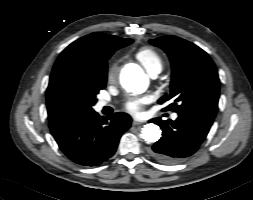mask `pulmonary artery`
Masks as SVG:
<instances>
[{"label":"pulmonary artery","mask_w":253,"mask_h":200,"mask_svg":"<svg viewBox=\"0 0 253 200\" xmlns=\"http://www.w3.org/2000/svg\"><path fill=\"white\" fill-rule=\"evenodd\" d=\"M151 76L152 77H156L157 76V74H151ZM107 105V103L105 102V101H100L99 103H98V107L99 108H102V107H104V106H106ZM177 118V114H173L172 115V119H176Z\"/></svg>","instance_id":"pulmonary-artery-1"}]
</instances>
